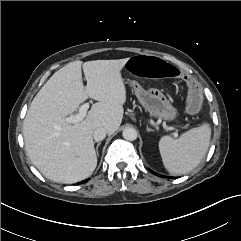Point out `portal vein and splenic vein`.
<instances>
[{
	"mask_svg": "<svg viewBox=\"0 0 241 241\" xmlns=\"http://www.w3.org/2000/svg\"><path fill=\"white\" fill-rule=\"evenodd\" d=\"M89 106H90L89 103H84L83 105H81L78 114H76L74 116L66 117L65 121L67 123H71V124H75V123L82 121L86 117Z\"/></svg>",
	"mask_w": 241,
	"mask_h": 241,
	"instance_id": "18ae733b",
	"label": "portal vein and splenic vein"
}]
</instances>
